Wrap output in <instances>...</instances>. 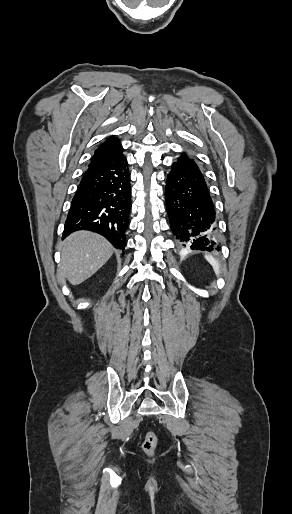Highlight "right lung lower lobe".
Segmentation results:
<instances>
[{"label":"right lung lower lobe","mask_w":292,"mask_h":514,"mask_svg":"<svg viewBox=\"0 0 292 514\" xmlns=\"http://www.w3.org/2000/svg\"><path fill=\"white\" fill-rule=\"evenodd\" d=\"M130 209V173L124 155L98 164L90 162L72 199L63 238L89 230L124 250Z\"/></svg>","instance_id":"right-lung-lower-lobe-1"}]
</instances>
